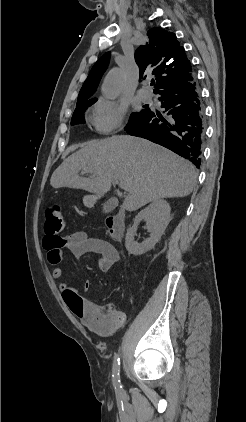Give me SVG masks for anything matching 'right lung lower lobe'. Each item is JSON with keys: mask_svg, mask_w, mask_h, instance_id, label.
<instances>
[{"mask_svg": "<svg viewBox=\"0 0 246 422\" xmlns=\"http://www.w3.org/2000/svg\"><path fill=\"white\" fill-rule=\"evenodd\" d=\"M166 119L150 109L125 131L160 144L200 167L204 142V112L195 78L160 91Z\"/></svg>", "mask_w": 246, "mask_h": 422, "instance_id": "right-lung-lower-lobe-1", "label": "right lung lower lobe"}]
</instances>
